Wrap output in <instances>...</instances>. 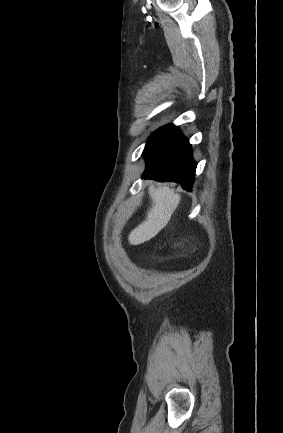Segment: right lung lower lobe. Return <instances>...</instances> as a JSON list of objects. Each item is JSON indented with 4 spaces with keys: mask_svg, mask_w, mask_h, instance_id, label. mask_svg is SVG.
<instances>
[{
    "mask_svg": "<svg viewBox=\"0 0 283 433\" xmlns=\"http://www.w3.org/2000/svg\"><path fill=\"white\" fill-rule=\"evenodd\" d=\"M191 155V145L179 130L171 124L163 126L147 141L143 152L146 169L142 178L177 182L189 191L196 169Z\"/></svg>",
    "mask_w": 283,
    "mask_h": 433,
    "instance_id": "98d812e1",
    "label": "right lung lower lobe"
}]
</instances>
